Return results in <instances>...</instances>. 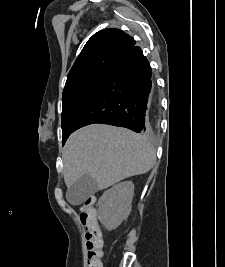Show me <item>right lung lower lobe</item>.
<instances>
[{
	"mask_svg": "<svg viewBox=\"0 0 225 267\" xmlns=\"http://www.w3.org/2000/svg\"><path fill=\"white\" fill-rule=\"evenodd\" d=\"M152 87L151 67L141 48L127 49L77 117L73 132L94 123L125 127L137 133L147 131Z\"/></svg>",
	"mask_w": 225,
	"mask_h": 267,
	"instance_id": "1",
	"label": "right lung lower lobe"
}]
</instances>
